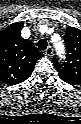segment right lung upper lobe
Here are the masks:
<instances>
[{"instance_id": "right-lung-upper-lobe-1", "label": "right lung upper lobe", "mask_w": 81, "mask_h": 124, "mask_svg": "<svg viewBox=\"0 0 81 124\" xmlns=\"http://www.w3.org/2000/svg\"><path fill=\"white\" fill-rule=\"evenodd\" d=\"M23 22L12 23L0 33V80L15 85L28 79L42 53L21 37Z\"/></svg>"}]
</instances>
